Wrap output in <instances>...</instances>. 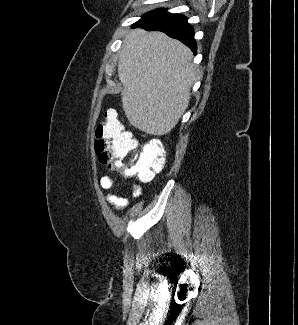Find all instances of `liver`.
I'll return each mask as SVG.
<instances>
[{"label": "liver", "instance_id": "6515ba94", "mask_svg": "<svg viewBox=\"0 0 298 325\" xmlns=\"http://www.w3.org/2000/svg\"><path fill=\"white\" fill-rule=\"evenodd\" d=\"M185 44L164 32L132 28L119 54L117 72L123 86L124 114L147 134H168L191 98L196 70Z\"/></svg>", "mask_w": 298, "mask_h": 325}]
</instances>
